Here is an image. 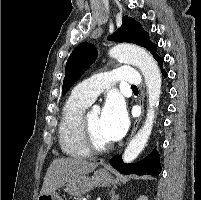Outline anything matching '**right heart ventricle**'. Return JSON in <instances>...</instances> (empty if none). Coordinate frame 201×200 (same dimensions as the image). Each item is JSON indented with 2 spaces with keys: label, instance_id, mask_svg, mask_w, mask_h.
Here are the masks:
<instances>
[{
  "label": "right heart ventricle",
  "instance_id": "right-heart-ventricle-1",
  "mask_svg": "<svg viewBox=\"0 0 201 200\" xmlns=\"http://www.w3.org/2000/svg\"><path fill=\"white\" fill-rule=\"evenodd\" d=\"M90 103L71 94L66 100L58 126L59 145L70 157H86L90 153L80 139V119Z\"/></svg>",
  "mask_w": 201,
  "mask_h": 200
}]
</instances>
